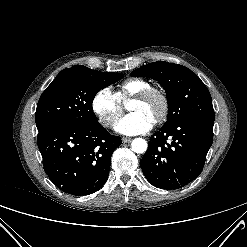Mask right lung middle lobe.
<instances>
[{
    "instance_id": "dd1d6c3e",
    "label": "right lung middle lobe",
    "mask_w": 247,
    "mask_h": 247,
    "mask_svg": "<svg viewBox=\"0 0 247 247\" xmlns=\"http://www.w3.org/2000/svg\"><path fill=\"white\" fill-rule=\"evenodd\" d=\"M121 78L123 74L99 72L82 65L62 70L38 101L37 129L60 123H97L92 109L95 95Z\"/></svg>"
}]
</instances>
